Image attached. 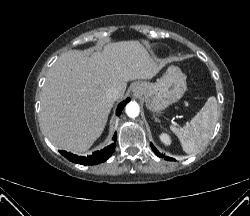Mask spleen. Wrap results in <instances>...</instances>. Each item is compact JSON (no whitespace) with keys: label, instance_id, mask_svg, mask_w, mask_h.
Returning <instances> with one entry per match:
<instances>
[{"label":"spleen","instance_id":"1","mask_svg":"<svg viewBox=\"0 0 250 216\" xmlns=\"http://www.w3.org/2000/svg\"><path fill=\"white\" fill-rule=\"evenodd\" d=\"M217 119L218 103L216 98L211 96L187 125L182 128L171 125L170 130L178 137L183 150L192 154L200 151L208 144Z\"/></svg>","mask_w":250,"mask_h":216}]
</instances>
